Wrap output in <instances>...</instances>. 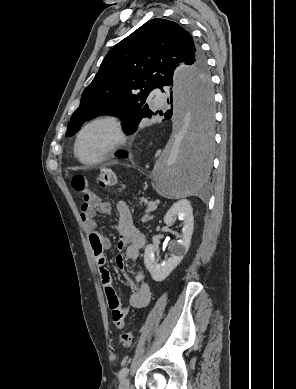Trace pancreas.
<instances>
[{"label":"pancreas","instance_id":"cf45deb5","mask_svg":"<svg viewBox=\"0 0 296 389\" xmlns=\"http://www.w3.org/2000/svg\"><path fill=\"white\" fill-rule=\"evenodd\" d=\"M152 211V209L148 208L147 213L142 217V222H147L152 219V216H150L148 213Z\"/></svg>","mask_w":296,"mask_h":389}]
</instances>
